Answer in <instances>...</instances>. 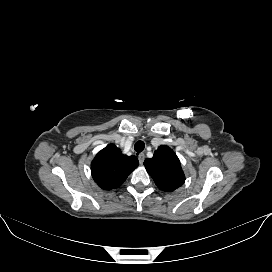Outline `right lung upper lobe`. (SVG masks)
<instances>
[{
	"mask_svg": "<svg viewBox=\"0 0 272 272\" xmlns=\"http://www.w3.org/2000/svg\"><path fill=\"white\" fill-rule=\"evenodd\" d=\"M138 164L135 156L123 155L114 144H109L95 156L91 174L100 188L111 190L119 187Z\"/></svg>",
	"mask_w": 272,
	"mask_h": 272,
	"instance_id": "right-lung-upper-lobe-1",
	"label": "right lung upper lobe"
}]
</instances>
